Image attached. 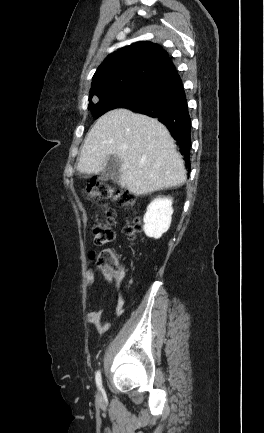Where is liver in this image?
Listing matches in <instances>:
<instances>
[{"label": "liver", "instance_id": "obj_1", "mask_svg": "<svg viewBox=\"0 0 264 433\" xmlns=\"http://www.w3.org/2000/svg\"><path fill=\"white\" fill-rule=\"evenodd\" d=\"M111 156L121 163L120 186L137 196L178 187L187 179L169 131L146 115L115 109L101 116L84 140L77 169L97 174Z\"/></svg>", "mask_w": 264, "mask_h": 433}]
</instances>
